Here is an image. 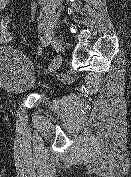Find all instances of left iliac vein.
Listing matches in <instances>:
<instances>
[{
    "mask_svg": "<svg viewBox=\"0 0 131 177\" xmlns=\"http://www.w3.org/2000/svg\"><path fill=\"white\" fill-rule=\"evenodd\" d=\"M54 47L56 49V53L52 58L53 63L50 64L48 67V71H47L48 74L54 73L60 67L62 61L61 54H60L61 51L60 43L54 42Z\"/></svg>",
    "mask_w": 131,
    "mask_h": 177,
    "instance_id": "obj_1",
    "label": "left iliac vein"
}]
</instances>
